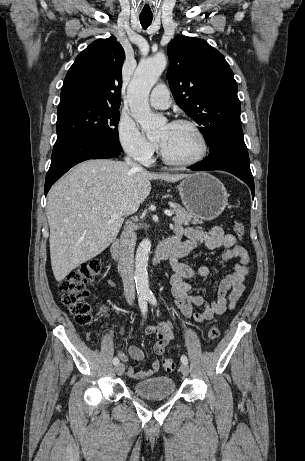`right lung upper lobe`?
Returning <instances> with one entry per match:
<instances>
[{
	"label": "right lung upper lobe",
	"mask_w": 305,
	"mask_h": 461,
	"mask_svg": "<svg viewBox=\"0 0 305 461\" xmlns=\"http://www.w3.org/2000/svg\"><path fill=\"white\" fill-rule=\"evenodd\" d=\"M124 59V50L114 37L91 43L67 72L58 108L77 103L119 107Z\"/></svg>",
	"instance_id": "1"
}]
</instances>
